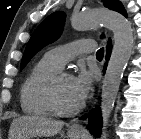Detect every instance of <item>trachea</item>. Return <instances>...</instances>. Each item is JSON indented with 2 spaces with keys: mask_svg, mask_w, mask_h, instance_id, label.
Wrapping results in <instances>:
<instances>
[{
  "mask_svg": "<svg viewBox=\"0 0 141 139\" xmlns=\"http://www.w3.org/2000/svg\"><path fill=\"white\" fill-rule=\"evenodd\" d=\"M104 56V48H101L97 51L96 57L97 58H102Z\"/></svg>",
  "mask_w": 141,
  "mask_h": 139,
  "instance_id": "3493384b",
  "label": "trachea"
}]
</instances>
